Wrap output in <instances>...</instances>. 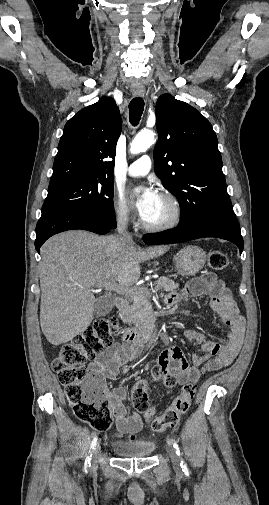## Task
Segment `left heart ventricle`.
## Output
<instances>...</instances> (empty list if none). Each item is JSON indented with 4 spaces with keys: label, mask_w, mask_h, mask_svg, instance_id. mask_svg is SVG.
<instances>
[{
    "label": "left heart ventricle",
    "mask_w": 269,
    "mask_h": 505,
    "mask_svg": "<svg viewBox=\"0 0 269 505\" xmlns=\"http://www.w3.org/2000/svg\"><path fill=\"white\" fill-rule=\"evenodd\" d=\"M172 216L173 207L171 203L162 196H159L155 206L145 221L150 224H160L170 220Z\"/></svg>",
    "instance_id": "1"
}]
</instances>
